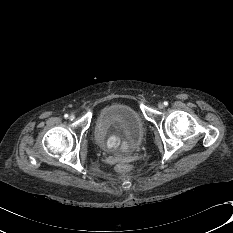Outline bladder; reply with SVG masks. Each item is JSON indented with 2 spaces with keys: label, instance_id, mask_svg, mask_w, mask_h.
<instances>
[{
  "label": "bladder",
  "instance_id": "obj_1",
  "mask_svg": "<svg viewBox=\"0 0 233 233\" xmlns=\"http://www.w3.org/2000/svg\"><path fill=\"white\" fill-rule=\"evenodd\" d=\"M93 134L100 144L110 137H116L123 143L124 150L132 151L143 142L146 124L134 107L115 103L99 112L93 125Z\"/></svg>",
  "mask_w": 233,
  "mask_h": 233
}]
</instances>
